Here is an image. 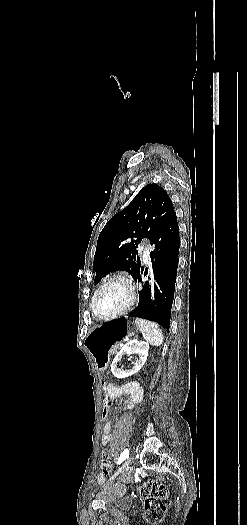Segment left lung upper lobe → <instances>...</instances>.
<instances>
[{
	"instance_id": "1",
	"label": "left lung upper lobe",
	"mask_w": 247,
	"mask_h": 525,
	"mask_svg": "<svg viewBox=\"0 0 247 525\" xmlns=\"http://www.w3.org/2000/svg\"><path fill=\"white\" fill-rule=\"evenodd\" d=\"M173 213L172 201L162 187L154 183L143 187L102 229L93 261L94 282L118 270L127 271L135 279L142 268L138 243L143 238L150 240Z\"/></svg>"
}]
</instances>
